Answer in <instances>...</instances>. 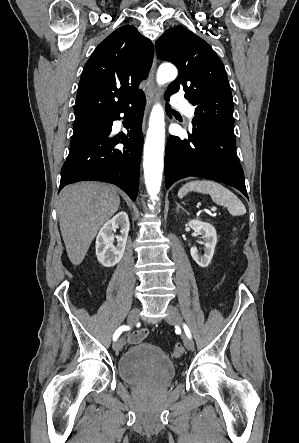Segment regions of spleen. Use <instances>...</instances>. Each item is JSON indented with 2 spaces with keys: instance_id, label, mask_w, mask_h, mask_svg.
Masks as SVG:
<instances>
[{
  "instance_id": "3e777b00",
  "label": "spleen",
  "mask_w": 299,
  "mask_h": 443,
  "mask_svg": "<svg viewBox=\"0 0 299 443\" xmlns=\"http://www.w3.org/2000/svg\"><path fill=\"white\" fill-rule=\"evenodd\" d=\"M194 191L202 194H209L218 205L227 207L233 216H240L246 213L244 204L230 190L221 184L210 180H196L183 185L178 191V197L183 198L189 192Z\"/></svg>"
}]
</instances>
